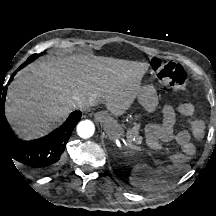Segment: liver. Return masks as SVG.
I'll return each instance as SVG.
<instances>
[{"instance_id":"1","label":"liver","mask_w":216,"mask_h":216,"mask_svg":"<svg viewBox=\"0 0 216 216\" xmlns=\"http://www.w3.org/2000/svg\"><path fill=\"white\" fill-rule=\"evenodd\" d=\"M148 64L87 56H47L27 67L11 84L6 116L25 139L41 137L74 109L77 98L106 102L117 113L136 98Z\"/></svg>"}]
</instances>
